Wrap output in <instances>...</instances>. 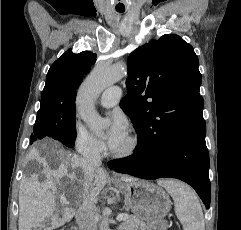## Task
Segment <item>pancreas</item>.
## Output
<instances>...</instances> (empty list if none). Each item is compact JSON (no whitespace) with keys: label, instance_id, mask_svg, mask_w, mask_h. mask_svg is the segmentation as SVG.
Instances as JSON below:
<instances>
[{"label":"pancreas","instance_id":"pancreas-1","mask_svg":"<svg viewBox=\"0 0 241 230\" xmlns=\"http://www.w3.org/2000/svg\"><path fill=\"white\" fill-rule=\"evenodd\" d=\"M119 230H148L145 222L135 216H129L119 227Z\"/></svg>","mask_w":241,"mask_h":230}]
</instances>
